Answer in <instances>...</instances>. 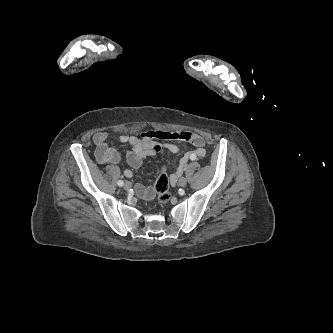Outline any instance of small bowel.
<instances>
[{"label":"small bowel","instance_id":"c3829d8e","mask_svg":"<svg viewBox=\"0 0 333 333\" xmlns=\"http://www.w3.org/2000/svg\"><path fill=\"white\" fill-rule=\"evenodd\" d=\"M162 141L161 143L158 141ZM122 144L130 146V150L126 153V159L131 169L124 171L125 176L132 177L134 170H137L146 156L156 155L161 150L166 149L172 153H177L179 148L170 141H189L196 146V149L186 153L180 160L177 170L171 175L170 182L175 185L177 179L185 170L189 161L205 155V140L202 136L190 131H164L155 130L142 133L141 137L132 135H122L119 137ZM93 143L95 145V157L100 164H117L120 161L119 153L108 146V136L105 132H97L93 135ZM138 196L143 199L150 200L154 196L151 187L138 185L136 187Z\"/></svg>","mask_w":333,"mask_h":333}]
</instances>
